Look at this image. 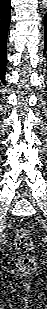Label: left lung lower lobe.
Returning <instances> with one entry per match:
<instances>
[{
	"label": "left lung lower lobe",
	"mask_w": 47,
	"mask_h": 309,
	"mask_svg": "<svg viewBox=\"0 0 47 309\" xmlns=\"http://www.w3.org/2000/svg\"><path fill=\"white\" fill-rule=\"evenodd\" d=\"M44 25H45V48H44V53L47 51V14H45V19H44Z\"/></svg>",
	"instance_id": "1"
}]
</instances>
